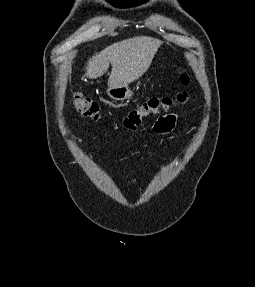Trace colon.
I'll return each instance as SVG.
<instances>
[{
  "instance_id": "colon-1",
  "label": "colon",
  "mask_w": 255,
  "mask_h": 287,
  "mask_svg": "<svg viewBox=\"0 0 255 287\" xmlns=\"http://www.w3.org/2000/svg\"><path fill=\"white\" fill-rule=\"evenodd\" d=\"M180 81L184 86H188L191 82L190 76L180 73ZM190 97L187 92H181L176 99L171 98H152L141 104L139 107L131 110L123 120V126L130 131L137 130L144 119L157 115L161 112H167L176 105H185ZM72 104L75 109L85 118L99 120L101 118L100 107L98 103L83 95L75 92L72 97Z\"/></svg>"
}]
</instances>
